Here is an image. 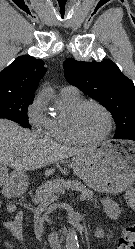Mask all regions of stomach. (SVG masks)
I'll use <instances>...</instances> for the list:
<instances>
[{"label": "stomach", "instance_id": "obj_1", "mask_svg": "<svg viewBox=\"0 0 135 249\" xmlns=\"http://www.w3.org/2000/svg\"><path fill=\"white\" fill-rule=\"evenodd\" d=\"M71 167L93 190L107 194L120 193L135 181V143L103 142L76 155ZM18 183L23 185L26 179Z\"/></svg>", "mask_w": 135, "mask_h": 249}]
</instances>
